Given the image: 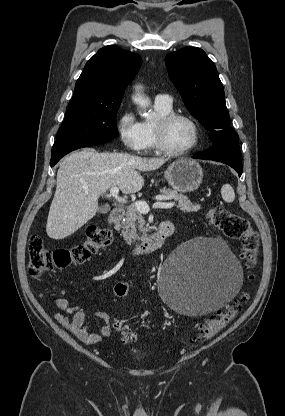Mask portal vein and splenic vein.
Returning <instances> with one entry per match:
<instances>
[{
	"label": "portal vein and splenic vein",
	"mask_w": 285,
	"mask_h": 416,
	"mask_svg": "<svg viewBox=\"0 0 285 416\" xmlns=\"http://www.w3.org/2000/svg\"><path fill=\"white\" fill-rule=\"evenodd\" d=\"M118 194V186H114V188H111L110 196H113V198H115V200H118V202H121V204H126L127 200H125V198H119ZM134 206L136 210L140 212V214H148L150 210L146 202H135ZM173 206H175L174 202H161V200H159V202H155V204H153L152 208H173Z\"/></svg>",
	"instance_id": "1"
}]
</instances>
